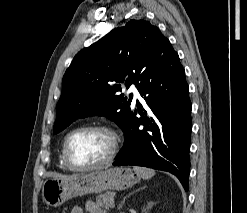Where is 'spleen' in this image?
<instances>
[{
    "instance_id": "3e777b00",
    "label": "spleen",
    "mask_w": 247,
    "mask_h": 213,
    "mask_svg": "<svg viewBox=\"0 0 247 213\" xmlns=\"http://www.w3.org/2000/svg\"><path fill=\"white\" fill-rule=\"evenodd\" d=\"M133 170L143 179H149L155 175V171L149 168L135 166Z\"/></svg>"
}]
</instances>
